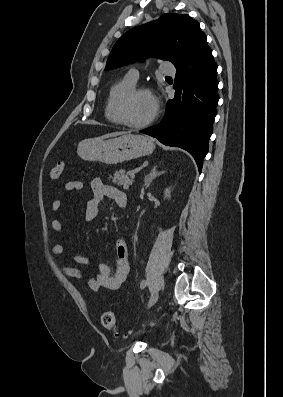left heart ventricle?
I'll use <instances>...</instances> for the list:
<instances>
[{"label": "left heart ventricle", "instance_id": "1", "mask_svg": "<svg viewBox=\"0 0 283 397\" xmlns=\"http://www.w3.org/2000/svg\"><path fill=\"white\" fill-rule=\"evenodd\" d=\"M153 99L145 93L134 96L127 104L126 116L129 121L140 123L150 118L154 112Z\"/></svg>", "mask_w": 283, "mask_h": 397}]
</instances>
